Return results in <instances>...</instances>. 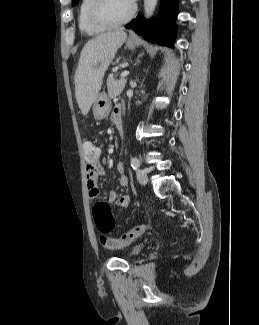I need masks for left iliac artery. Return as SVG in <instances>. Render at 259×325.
I'll return each mask as SVG.
<instances>
[{"mask_svg": "<svg viewBox=\"0 0 259 325\" xmlns=\"http://www.w3.org/2000/svg\"><path fill=\"white\" fill-rule=\"evenodd\" d=\"M135 160H139V159L136 158V157H132V158H131V161H130L131 167H132V165L134 164V161H135Z\"/></svg>", "mask_w": 259, "mask_h": 325, "instance_id": "obj_1", "label": "left iliac artery"}]
</instances>
